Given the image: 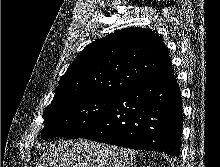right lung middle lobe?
Masks as SVG:
<instances>
[{
  "label": "right lung middle lobe",
  "mask_w": 220,
  "mask_h": 167,
  "mask_svg": "<svg viewBox=\"0 0 220 167\" xmlns=\"http://www.w3.org/2000/svg\"><path fill=\"white\" fill-rule=\"evenodd\" d=\"M115 95L74 94L53 100L43 113L44 140L52 137L80 138L107 112Z\"/></svg>",
  "instance_id": "obj_1"
}]
</instances>
